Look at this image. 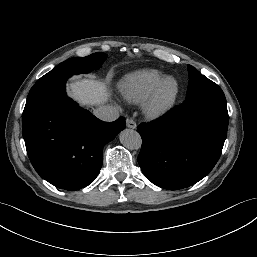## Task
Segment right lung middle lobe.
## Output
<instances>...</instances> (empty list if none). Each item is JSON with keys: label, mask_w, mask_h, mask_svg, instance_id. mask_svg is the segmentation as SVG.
I'll use <instances>...</instances> for the list:
<instances>
[{"label": "right lung middle lobe", "mask_w": 257, "mask_h": 257, "mask_svg": "<svg viewBox=\"0 0 257 257\" xmlns=\"http://www.w3.org/2000/svg\"><path fill=\"white\" fill-rule=\"evenodd\" d=\"M106 57L107 55L104 53H94L87 57L70 58L60 63L50 72L41 77L37 82L43 83L63 76L70 77L73 74L89 73L99 68L105 61Z\"/></svg>", "instance_id": "1"}]
</instances>
